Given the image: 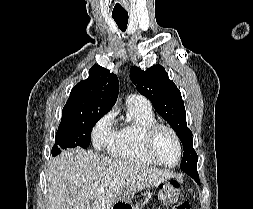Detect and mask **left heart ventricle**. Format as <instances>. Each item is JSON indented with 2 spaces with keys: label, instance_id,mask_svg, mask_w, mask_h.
<instances>
[{
  "label": "left heart ventricle",
  "instance_id": "1",
  "mask_svg": "<svg viewBox=\"0 0 253 209\" xmlns=\"http://www.w3.org/2000/svg\"><path fill=\"white\" fill-rule=\"evenodd\" d=\"M153 151L156 156L167 164H173L178 157V150L173 136L167 130L156 134Z\"/></svg>",
  "mask_w": 253,
  "mask_h": 209
}]
</instances>
